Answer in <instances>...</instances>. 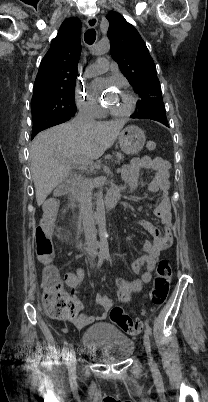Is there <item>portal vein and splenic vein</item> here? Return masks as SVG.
Segmentation results:
<instances>
[{
	"label": "portal vein and splenic vein",
	"instance_id": "1",
	"mask_svg": "<svg viewBox=\"0 0 208 402\" xmlns=\"http://www.w3.org/2000/svg\"><path fill=\"white\" fill-rule=\"evenodd\" d=\"M112 157L115 158V164L120 163V159H122V156L119 155V153H113ZM84 164H89V166H92L93 168V162L92 160H83Z\"/></svg>",
	"mask_w": 208,
	"mask_h": 402
}]
</instances>
